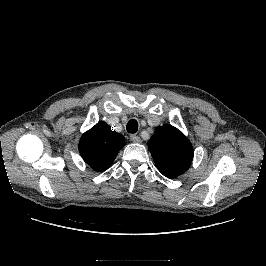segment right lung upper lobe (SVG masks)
I'll list each match as a JSON object with an SVG mask.
<instances>
[{"instance_id": "cb5924a9", "label": "right lung upper lobe", "mask_w": 266, "mask_h": 266, "mask_svg": "<svg viewBox=\"0 0 266 266\" xmlns=\"http://www.w3.org/2000/svg\"><path fill=\"white\" fill-rule=\"evenodd\" d=\"M124 145L121 134L112 131L105 122H99L82 135L79 152L92 169L104 171L111 166Z\"/></svg>"}]
</instances>
